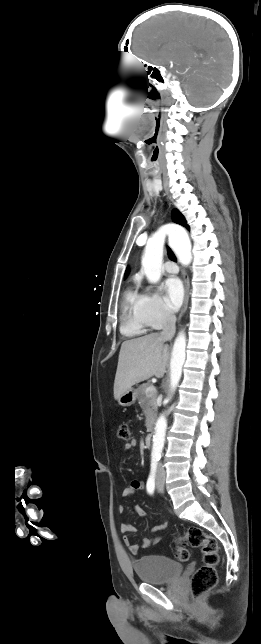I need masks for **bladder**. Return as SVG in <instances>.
Here are the masks:
<instances>
[{"mask_svg":"<svg viewBox=\"0 0 261 644\" xmlns=\"http://www.w3.org/2000/svg\"><path fill=\"white\" fill-rule=\"evenodd\" d=\"M133 569L142 582L164 584L178 578L183 571V566L165 556L146 555L134 560Z\"/></svg>","mask_w":261,"mask_h":644,"instance_id":"obj_1","label":"bladder"}]
</instances>
